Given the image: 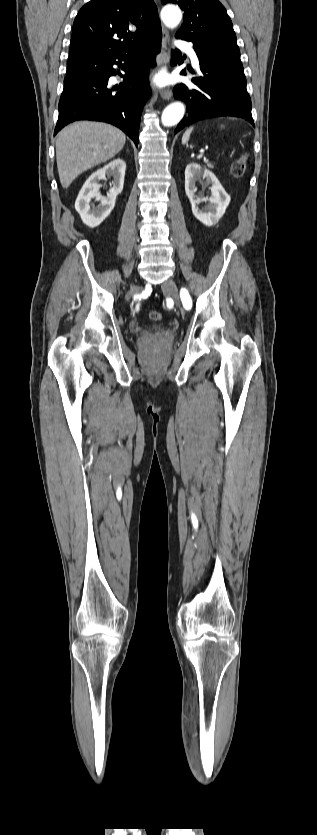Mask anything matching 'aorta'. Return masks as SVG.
Instances as JSON below:
<instances>
[{
    "label": "aorta",
    "mask_w": 317,
    "mask_h": 835,
    "mask_svg": "<svg viewBox=\"0 0 317 835\" xmlns=\"http://www.w3.org/2000/svg\"><path fill=\"white\" fill-rule=\"evenodd\" d=\"M161 19L163 23L169 28H175L179 25L182 19V13L179 7L174 5H167L161 11ZM185 107L181 102H175L167 106L161 116V123L164 127H171L178 124L183 118Z\"/></svg>",
    "instance_id": "aorta-1"
}]
</instances>
